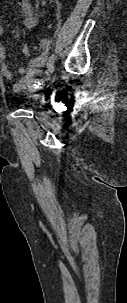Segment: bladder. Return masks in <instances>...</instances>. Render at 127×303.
Segmentation results:
<instances>
[{
	"mask_svg": "<svg viewBox=\"0 0 127 303\" xmlns=\"http://www.w3.org/2000/svg\"><path fill=\"white\" fill-rule=\"evenodd\" d=\"M24 104L29 107H34L36 103L34 100L31 99V100H27Z\"/></svg>",
	"mask_w": 127,
	"mask_h": 303,
	"instance_id": "bladder-1",
	"label": "bladder"
}]
</instances>
